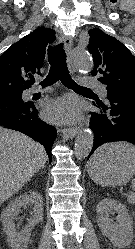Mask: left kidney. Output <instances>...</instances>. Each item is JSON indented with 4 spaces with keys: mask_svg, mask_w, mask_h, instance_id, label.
Here are the masks:
<instances>
[{
    "mask_svg": "<svg viewBox=\"0 0 135 249\" xmlns=\"http://www.w3.org/2000/svg\"><path fill=\"white\" fill-rule=\"evenodd\" d=\"M98 224L112 244L118 248L128 246L133 240V224L126 207L117 200L104 198L97 205ZM113 212L117 213L116 222L109 218Z\"/></svg>",
    "mask_w": 135,
    "mask_h": 249,
    "instance_id": "1",
    "label": "left kidney"
}]
</instances>
